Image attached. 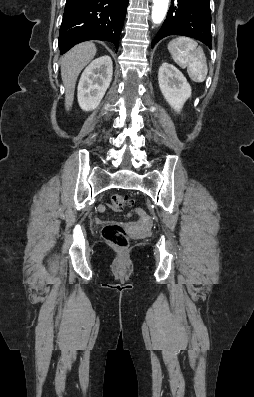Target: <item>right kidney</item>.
I'll return each instance as SVG.
<instances>
[{"label": "right kidney", "instance_id": "1", "mask_svg": "<svg viewBox=\"0 0 254 397\" xmlns=\"http://www.w3.org/2000/svg\"><path fill=\"white\" fill-rule=\"evenodd\" d=\"M113 75L111 57L101 56L84 70L78 84V103L84 111L94 110L105 95Z\"/></svg>", "mask_w": 254, "mask_h": 397}]
</instances>
